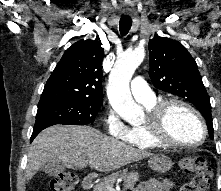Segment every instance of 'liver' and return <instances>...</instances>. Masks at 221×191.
Returning a JSON list of instances; mask_svg holds the SVG:
<instances>
[{
    "label": "liver",
    "mask_w": 221,
    "mask_h": 191,
    "mask_svg": "<svg viewBox=\"0 0 221 191\" xmlns=\"http://www.w3.org/2000/svg\"><path fill=\"white\" fill-rule=\"evenodd\" d=\"M151 155L89 126L54 125L43 130L32 142L26 178L30 180L47 161H60L76 169L89 165L103 172L119 169Z\"/></svg>",
    "instance_id": "1"
}]
</instances>
